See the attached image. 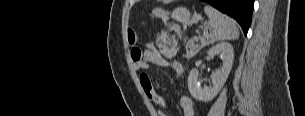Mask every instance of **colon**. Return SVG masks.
Here are the masks:
<instances>
[{"mask_svg": "<svg viewBox=\"0 0 305 116\" xmlns=\"http://www.w3.org/2000/svg\"><path fill=\"white\" fill-rule=\"evenodd\" d=\"M127 37H128V42L130 45H135L139 41V35L136 32V30L132 27L128 29ZM141 77L147 78V74L142 73Z\"/></svg>", "mask_w": 305, "mask_h": 116, "instance_id": "5ec220e1", "label": "colon"}]
</instances>
